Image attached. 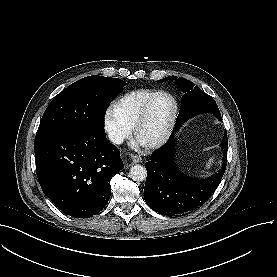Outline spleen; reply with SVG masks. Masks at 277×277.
I'll return each mask as SVG.
<instances>
[{
  "instance_id": "obj_1",
  "label": "spleen",
  "mask_w": 277,
  "mask_h": 277,
  "mask_svg": "<svg viewBox=\"0 0 277 277\" xmlns=\"http://www.w3.org/2000/svg\"><path fill=\"white\" fill-rule=\"evenodd\" d=\"M212 163H213V158H211V159L209 160V162L206 164V167H207V168H210V166L212 165Z\"/></svg>"
}]
</instances>
